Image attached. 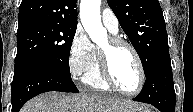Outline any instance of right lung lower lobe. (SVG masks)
Here are the masks:
<instances>
[{
	"mask_svg": "<svg viewBox=\"0 0 193 112\" xmlns=\"http://www.w3.org/2000/svg\"><path fill=\"white\" fill-rule=\"evenodd\" d=\"M48 91L79 92L71 76L52 66L36 64L14 73L11 85L12 112H19L29 99Z\"/></svg>",
	"mask_w": 193,
	"mask_h": 112,
	"instance_id": "98d812e1",
	"label": "right lung lower lobe"
}]
</instances>
